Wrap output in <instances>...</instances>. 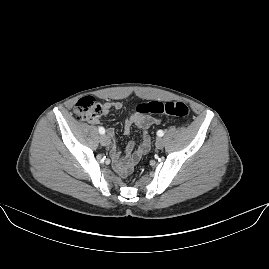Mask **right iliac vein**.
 Masks as SVG:
<instances>
[{
	"mask_svg": "<svg viewBox=\"0 0 269 269\" xmlns=\"http://www.w3.org/2000/svg\"><path fill=\"white\" fill-rule=\"evenodd\" d=\"M111 142V139L108 135L104 134L100 137V143L103 145V146H108Z\"/></svg>",
	"mask_w": 269,
	"mask_h": 269,
	"instance_id": "63e3f726",
	"label": "right iliac vein"
}]
</instances>
